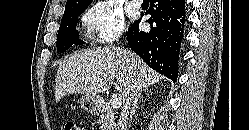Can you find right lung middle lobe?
<instances>
[{
  "label": "right lung middle lobe",
  "instance_id": "obj_1",
  "mask_svg": "<svg viewBox=\"0 0 249 130\" xmlns=\"http://www.w3.org/2000/svg\"><path fill=\"white\" fill-rule=\"evenodd\" d=\"M87 7H65V12L61 20L57 36V52H65L72 45L83 44L79 39L76 25L78 17Z\"/></svg>",
  "mask_w": 249,
  "mask_h": 130
}]
</instances>
